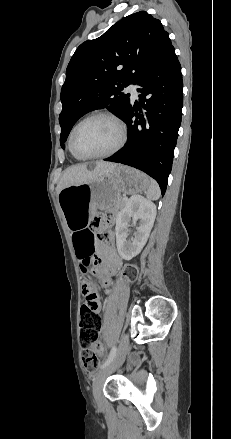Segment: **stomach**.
<instances>
[{
  "label": "stomach",
  "instance_id": "stomach-1",
  "mask_svg": "<svg viewBox=\"0 0 231 439\" xmlns=\"http://www.w3.org/2000/svg\"><path fill=\"white\" fill-rule=\"evenodd\" d=\"M149 183L144 173L118 165L95 180L66 187L59 193V204L66 224L71 230L82 229L90 223L97 209L113 208L122 193L145 191Z\"/></svg>",
  "mask_w": 231,
  "mask_h": 439
}]
</instances>
